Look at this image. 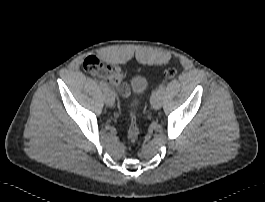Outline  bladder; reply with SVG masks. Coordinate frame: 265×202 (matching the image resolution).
Instances as JSON below:
<instances>
[{"mask_svg": "<svg viewBox=\"0 0 265 202\" xmlns=\"http://www.w3.org/2000/svg\"><path fill=\"white\" fill-rule=\"evenodd\" d=\"M147 87V81L143 76L133 77L130 84V95L135 99L139 100L144 94Z\"/></svg>", "mask_w": 265, "mask_h": 202, "instance_id": "31cf9c89", "label": "bladder"}]
</instances>
